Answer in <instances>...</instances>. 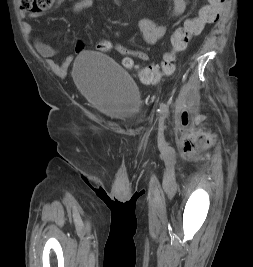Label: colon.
<instances>
[{"label": "colon", "mask_w": 253, "mask_h": 267, "mask_svg": "<svg viewBox=\"0 0 253 267\" xmlns=\"http://www.w3.org/2000/svg\"><path fill=\"white\" fill-rule=\"evenodd\" d=\"M54 0H18V6L26 12H42L51 7ZM225 0H207V4L200 8L198 15L187 19L182 27L176 30L172 37V51L165 55L161 67L149 65L140 70L139 77L144 83H154L163 75L174 72L177 62V53L185 50L195 36L202 33L205 26L218 21ZM96 49L100 52L115 51L124 56L122 65L127 69L136 68L133 58L146 60L145 53L132 50L121 44L102 39L96 43Z\"/></svg>", "instance_id": "1"}]
</instances>
